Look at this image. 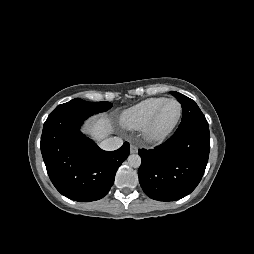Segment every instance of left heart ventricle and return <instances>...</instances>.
Listing matches in <instances>:
<instances>
[{"instance_id":"left-heart-ventricle-1","label":"left heart ventricle","mask_w":254,"mask_h":254,"mask_svg":"<svg viewBox=\"0 0 254 254\" xmlns=\"http://www.w3.org/2000/svg\"><path fill=\"white\" fill-rule=\"evenodd\" d=\"M179 107L175 102H167L163 105L155 124V130L160 132L172 125L178 115Z\"/></svg>"}]
</instances>
